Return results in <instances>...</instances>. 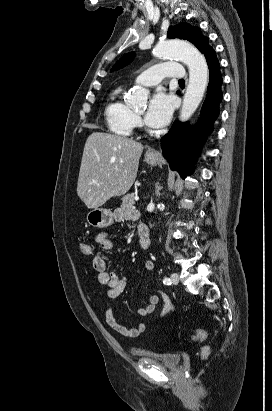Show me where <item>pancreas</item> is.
Listing matches in <instances>:
<instances>
[{"mask_svg": "<svg viewBox=\"0 0 272 411\" xmlns=\"http://www.w3.org/2000/svg\"><path fill=\"white\" fill-rule=\"evenodd\" d=\"M135 194L131 193V194H127L125 196L122 197V204H121V209H131L134 204H135Z\"/></svg>", "mask_w": 272, "mask_h": 411, "instance_id": "cf45deb5", "label": "pancreas"}]
</instances>
